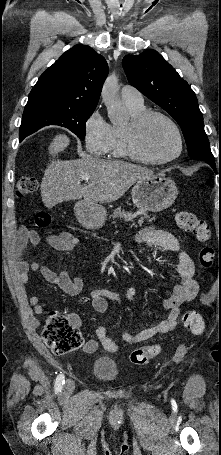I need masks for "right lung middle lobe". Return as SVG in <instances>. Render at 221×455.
<instances>
[{
  "mask_svg": "<svg viewBox=\"0 0 221 455\" xmlns=\"http://www.w3.org/2000/svg\"><path fill=\"white\" fill-rule=\"evenodd\" d=\"M95 108H77L52 104L26 105L20 126L19 139L47 125L66 127L80 139L85 138L86 121Z\"/></svg>",
  "mask_w": 221,
  "mask_h": 455,
  "instance_id": "obj_1",
  "label": "right lung middle lobe"
}]
</instances>
